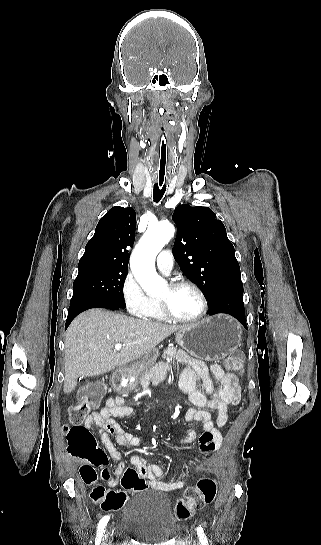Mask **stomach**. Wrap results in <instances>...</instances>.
<instances>
[{"mask_svg": "<svg viewBox=\"0 0 321 545\" xmlns=\"http://www.w3.org/2000/svg\"><path fill=\"white\" fill-rule=\"evenodd\" d=\"M241 335L242 329L238 321L228 315H214L179 329L175 333V341L191 357L202 359V361H218L220 357H226L230 351L238 349ZM157 357L158 351H150L139 361H134L130 367H119L118 371H115V377L124 375L126 369H133V371L151 369Z\"/></svg>", "mask_w": 321, "mask_h": 545, "instance_id": "0dacf381", "label": "stomach"}]
</instances>
